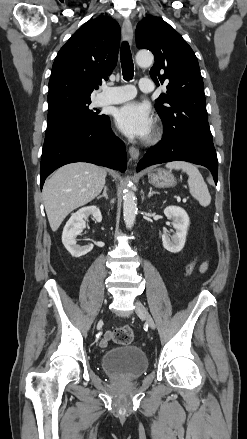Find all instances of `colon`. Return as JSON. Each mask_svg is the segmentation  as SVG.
I'll list each match as a JSON object with an SVG mask.
<instances>
[{
	"mask_svg": "<svg viewBox=\"0 0 247 439\" xmlns=\"http://www.w3.org/2000/svg\"><path fill=\"white\" fill-rule=\"evenodd\" d=\"M194 266H195V260L191 261L186 266L185 274L189 275L193 271ZM133 339H134V333L132 329L127 325L121 326L113 332V340L117 344L128 345L133 341Z\"/></svg>",
	"mask_w": 247,
	"mask_h": 439,
	"instance_id": "5ec220e1",
	"label": "colon"
}]
</instances>
